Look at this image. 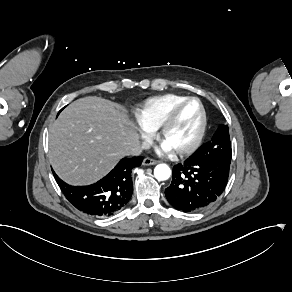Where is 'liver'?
<instances>
[{
  "mask_svg": "<svg viewBox=\"0 0 292 292\" xmlns=\"http://www.w3.org/2000/svg\"><path fill=\"white\" fill-rule=\"evenodd\" d=\"M50 161L71 184H90L139 147L134 125L114 103L86 97L73 102L49 128Z\"/></svg>",
  "mask_w": 292,
  "mask_h": 292,
  "instance_id": "liver-1",
  "label": "liver"
}]
</instances>
